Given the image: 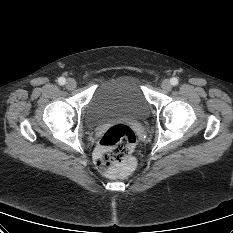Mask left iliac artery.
I'll return each mask as SVG.
<instances>
[{
    "label": "left iliac artery",
    "instance_id": "left-iliac-artery-1",
    "mask_svg": "<svg viewBox=\"0 0 233 233\" xmlns=\"http://www.w3.org/2000/svg\"><path fill=\"white\" fill-rule=\"evenodd\" d=\"M170 82H171V84H172L173 86H176V85L178 84V79L175 78V77H173V78H171Z\"/></svg>",
    "mask_w": 233,
    "mask_h": 233
}]
</instances>
